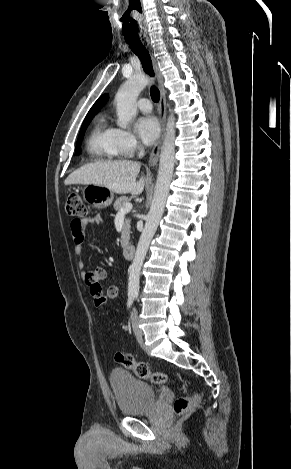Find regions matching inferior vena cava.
Segmentation results:
<instances>
[{"mask_svg":"<svg viewBox=\"0 0 291 469\" xmlns=\"http://www.w3.org/2000/svg\"><path fill=\"white\" fill-rule=\"evenodd\" d=\"M144 155V148L142 146L139 147V157L141 158Z\"/></svg>","mask_w":291,"mask_h":469,"instance_id":"obj_1","label":"inferior vena cava"}]
</instances>
